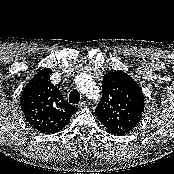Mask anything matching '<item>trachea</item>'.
I'll return each mask as SVG.
<instances>
[{"label":"trachea","mask_w":174,"mask_h":174,"mask_svg":"<svg viewBox=\"0 0 174 174\" xmlns=\"http://www.w3.org/2000/svg\"><path fill=\"white\" fill-rule=\"evenodd\" d=\"M80 102V93L77 90H73L69 94V103L78 104Z\"/></svg>","instance_id":"3493384b"}]
</instances>
